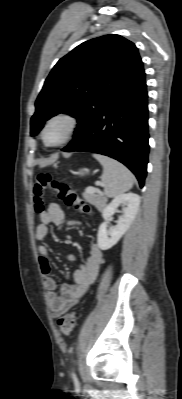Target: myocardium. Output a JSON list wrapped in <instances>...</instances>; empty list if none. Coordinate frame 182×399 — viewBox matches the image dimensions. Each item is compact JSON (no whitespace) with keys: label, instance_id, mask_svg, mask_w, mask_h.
Instances as JSON below:
<instances>
[{"label":"myocardium","instance_id":"1","mask_svg":"<svg viewBox=\"0 0 182 399\" xmlns=\"http://www.w3.org/2000/svg\"><path fill=\"white\" fill-rule=\"evenodd\" d=\"M57 121H61L66 124L65 136L60 142H58L56 144H49V143H47L46 137H45L46 131L52 123L57 122ZM78 128H79V121L74 114L67 112V111H60V112L53 114L45 121L44 126L42 128V132H41V138H42V141L45 146L51 147V148L59 147V146L66 144L67 142H69L77 133Z\"/></svg>","mask_w":182,"mask_h":399}]
</instances>
